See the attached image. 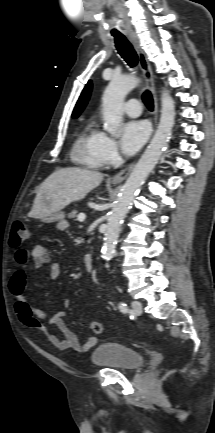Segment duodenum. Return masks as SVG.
<instances>
[{
    "mask_svg": "<svg viewBox=\"0 0 215 433\" xmlns=\"http://www.w3.org/2000/svg\"><path fill=\"white\" fill-rule=\"evenodd\" d=\"M83 264L88 272H92L94 270L93 258L90 254H85L83 256Z\"/></svg>",
    "mask_w": 215,
    "mask_h": 433,
    "instance_id": "1",
    "label": "duodenum"
}]
</instances>
